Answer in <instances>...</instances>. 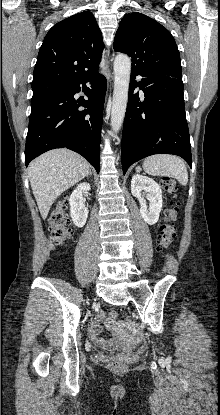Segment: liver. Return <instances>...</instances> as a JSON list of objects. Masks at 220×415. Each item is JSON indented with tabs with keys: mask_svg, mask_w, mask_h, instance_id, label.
Here are the masks:
<instances>
[{
	"mask_svg": "<svg viewBox=\"0 0 220 415\" xmlns=\"http://www.w3.org/2000/svg\"><path fill=\"white\" fill-rule=\"evenodd\" d=\"M90 172L89 163L68 149H55L36 158L28 168L40 214L46 219L54 201Z\"/></svg>",
	"mask_w": 220,
	"mask_h": 415,
	"instance_id": "1",
	"label": "liver"
}]
</instances>
